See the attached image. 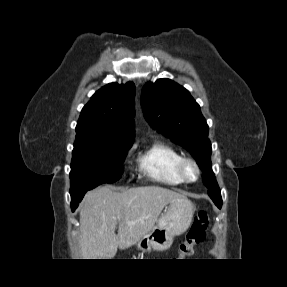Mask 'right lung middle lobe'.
Here are the masks:
<instances>
[{
	"mask_svg": "<svg viewBox=\"0 0 287 287\" xmlns=\"http://www.w3.org/2000/svg\"><path fill=\"white\" fill-rule=\"evenodd\" d=\"M133 141L101 139L90 133H77L70 172V194L111 183L123 173V161Z\"/></svg>",
	"mask_w": 287,
	"mask_h": 287,
	"instance_id": "obj_1",
	"label": "right lung middle lobe"
}]
</instances>
